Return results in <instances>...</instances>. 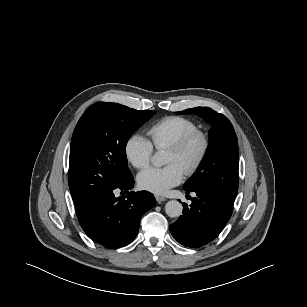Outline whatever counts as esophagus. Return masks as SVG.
I'll use <instances>...</instances> for the list:
<instances>
[{
  "label": "esophagus",
  "mask_w": 307,
  "mask_h": 307,
  "mask_svg": "<svg viewBox=\"0 0 307 307\" xmlns=\"http://www.w3.org/2000/svg\"><path fill=\"white\" fill-rule=\"evenodd\" d=\"M155 198L158 203H162L163 201H166V198L160 195H155Z\"/></svg>",
  "instance_id": "34e87169"
}]
</instances>
